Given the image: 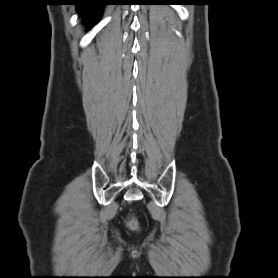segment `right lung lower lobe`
<instances>
[{"instance_id":"98d812e1","label":"right lung lower lobe","mask_w":278,"mask_h":278,"mask_svg":"<svg viewBox=\"0 0 278 278\" xmlns=\"http://www.w3.org/2000/svg\"><path fill=\"white\" fill-rule=\"evenodd\" d=\"M102 0H80L76 4L79 12L84 18H87L89 23H93L100 17L101 11L105 3Z\"/></svg>"}]
</instances>
